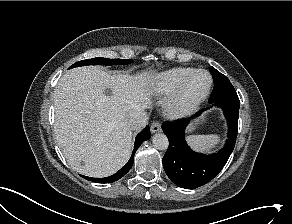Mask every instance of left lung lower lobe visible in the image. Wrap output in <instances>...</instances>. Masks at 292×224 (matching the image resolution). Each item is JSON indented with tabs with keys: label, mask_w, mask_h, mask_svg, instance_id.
<instances>
[{
	"label": "left lung lower lobe",
	"mask_w": 292,
	"mask_h": 224,
	"mask_svg": "<svg viewBox=\"0 0 292 224\" xmlns=\"http://www.w3.org/2000/svg\"><path fill=\"white\" fill-rule=\"evenodd\" d=\"M210 104L223 110L228 125V139L218 153H196L189 148L184 138L185 128L190 120L208 108L197 112L192 118L162 125L169 140V148L163 157V167L167 176L181 188L194 189L212 180L222 170L234 149L240 107L238 96L223 97Z\"/></svg>",
	"instance_id": "left-lung-lower-lobe-1"
}]
</instances>
